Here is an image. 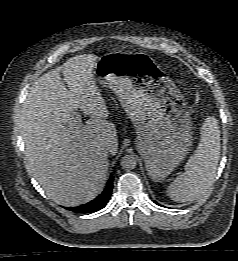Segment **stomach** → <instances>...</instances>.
<instances>
[{"label": "stomach", "mask_w": 238, "mask_h": 261, "mask_svg": "<svg viewBox=\"0 0 238 261\" xmlns=\"http://www.w3.org/2000/svg\"><path fill=\"white\" fill-rule=\"evenodd\" d=\"M94 76L112 89L134 124L136 147L150 178L164 180L192 144L191 120L179 89L144 55L106 54L97 60Z\"/></svg>", "instance_id": "1"}]
</instances>
